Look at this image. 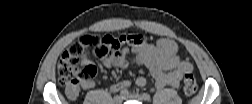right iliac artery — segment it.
<instances>
[{
  "label": "right iliac artery",
  "instance_id": "82829eb1",
  "mask_svg": "<svg viewBox=\"0 0 252 104\" xmlns=\"http://www.w3.org/2000/svg\"><path fill=\"white\" fill-rule=\"evenodd\" d=\"M120 95L124 98V97H126L127 95H128V90H122L121 91V93H120Z\"/></svg>",
  "mask_w": 252,
  "mask_h": 104
}]
</instances>
